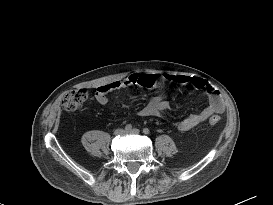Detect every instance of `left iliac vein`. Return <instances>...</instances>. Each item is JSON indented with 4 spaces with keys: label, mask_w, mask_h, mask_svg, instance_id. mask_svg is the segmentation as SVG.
I'll return each instance as SVG.
<instances>
[{
    "label": "left iliac vein",
    "mask_w": 273,
    "mask_h": 205,
    "mask_svg": "<svg viewBox=\"0 0 273 205\" xmlns=\"http://www.w3.org/2000/svg\"><path fill=\"white\" fill-rule=\"evenodd\" d=\"M127 133H129V134H139L140 131L138 129H132V130L127 131Z\"/></svg>",
    "instance_id": "left-iliac-vein-1"
}]
</instances>
